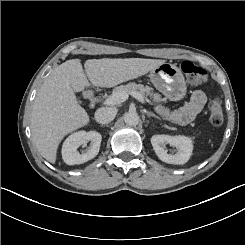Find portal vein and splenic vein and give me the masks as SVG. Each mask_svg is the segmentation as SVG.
<instances>
[{"mask_svg":"<svg viewBox=\"0 0 245 245\" xmlns=\"http://www.w3.org/2000/svg\"><path fill=\"white\" fill-rule=\"evenodd\" d=\"M130 94L141 103H144V97L140 93L132 91ZM128 97L129 95L125 92L113 93L109 98L105 100L104 104L108 106L117 105L122 102H125L128 99Z\"/></svg>","mask_w":245,"mask_h":245,"instance_id":"obj_1","label":"portal vein and splenic vein"}]
</instances>
